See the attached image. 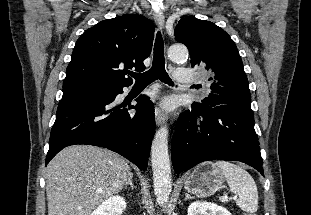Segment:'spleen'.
<instances>
[{
	"instance_id": "1",
	"label": "spleen",
	"mask_w": 311,
	"mask_h": 215,
	"mask_svg": "<svg viewBox=\"0 0 311 215\" xmlns=\"http://www.w3.org/2000/svg\"><path fill=\"white\" fill-rule=\"evenodd\" d=\"M213 165L222 172L231 191L239 196L237 205L245 212H256L258 190L252 176L240 166L228 161H217Z\"/></svg>"
}]
</instances>
